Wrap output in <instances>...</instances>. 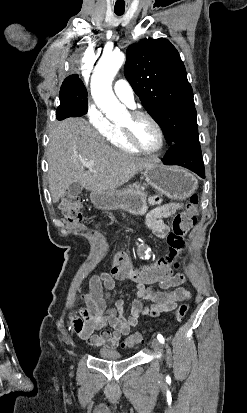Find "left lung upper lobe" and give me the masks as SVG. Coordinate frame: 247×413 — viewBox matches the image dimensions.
<instances>
[{
	"instance_id": "5c2ea615",
	"label": "left lung upper lobe",
	"mask_w": 247,
	"mask_h": 413,
	"mask_svg": "<svg viewBox=\"0 0 247 413\" xmlns=\"http://www.w3.org/2000/svg\"><path fill=\"white\" fill-rule=\"evenodd\" d=\"M124 73L169 145L199 140L192 87L170 41L144 39L130 45Z\"/></svg>"
}]
</instances>
